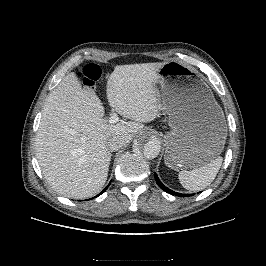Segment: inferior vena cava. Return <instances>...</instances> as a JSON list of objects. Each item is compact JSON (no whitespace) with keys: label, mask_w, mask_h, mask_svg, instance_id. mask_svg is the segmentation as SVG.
I'll return each mask as SVG.
<instances>
[{"label":"inferior vena cava","mask_w":266,"mask_h":266,"mask_svg":"<svg viewBox=\"0 0 266 266\" xmlns=\"http://www.w3.org/2000/svg\"><path fill=\"white\" fill-rule=\"evenodd\" d=\"M125 144H126V142H125L124 138L122 136H119V135L111 137L106 143V145L110 151H116V150L120 149Z\"/></svg>","instance_id":"1"}]
</instances>
